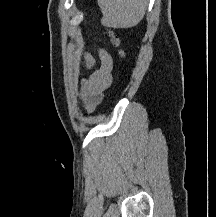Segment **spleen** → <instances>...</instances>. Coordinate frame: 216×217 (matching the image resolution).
Wrapping results in <instances>:
<instances>
[{
  "label": "spleen",
  "mask_w": 216,
  "mask_h": 217,
  "mask_svg": "<svg viewBox=\"0 0 216 217\" xmlns=\"http://www.w3.org/2000/svg\"><path fill=\"white\" fill-rule=\"evenodd\" d=\"M102 24L112 28H131L143 18L148 0H97Z\"/></svg>",
  "instance_id": "3e777b00"
}]
</instances>
